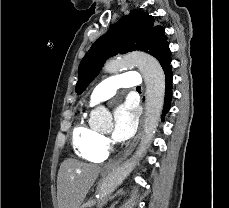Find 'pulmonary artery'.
<instances>
[{
  "label": "pulmonary artery",
  "instance_id": "1",
  "mask_svg": "<svg viewBox=\"0 0 229 208\" xmlns=\"http://www.w3.org/2000/svg\"><path fill=\"white\" fill-rule=\"evenodd\" d=\"M137 76V72H124L111 75L102 80L101 83L93 89L90 96L89 105L95 106L111 98L116 94L119 88L140 87L141 79Z\"/></svg>",
  "mask_w": 229,
  "mask_h": 208
}]
</instances>
